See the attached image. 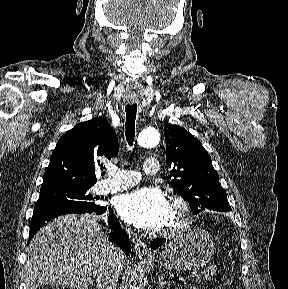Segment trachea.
I'll return each instance as SVG.
<instances>
[{"label": "trachea", "mask_w": 288, "mask_h": 289, "mask_svg": "<svg viewBox=\"0 0 288 289\" xmlns=\"http://www.w3.org/2000/svg\"><path fill=\"white\" fill-rule=\"evenodd\" d=\"M125 111H126L125 135L129 146H132L135 138V119L137 113V104H127Z\"/></svg>", "instance_id": "3493384b"}]
</instances>
